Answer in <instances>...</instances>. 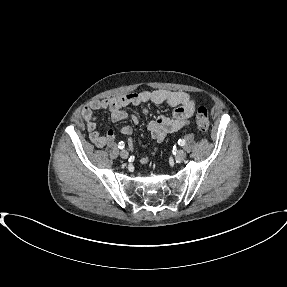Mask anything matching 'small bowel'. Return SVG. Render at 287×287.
I'll list each match as a JSON object with an SVG mask.
<instances>
[{
  "label": "small bowel",
  "mask_w": 287,
  "mask_h": 287,
  "mask_svg": "<svg viewBox=\"0 0 287 287\" xmlns=\"http://www.w3.org/2000/svg\"><path fill=\"white\" fill-rule=\"evenodd\" d=\"M148 102L153 104H167L175 107L171 115H160L149 120L148 130L157 142H162L167 134L175 133L186 126L193 115L195 107V102L189 94L164 89L128 93L94 100L83 108L81 113L89 132L90 141L97 147H103L112 143L115 139V132L112 129L104 134L98 131L97 119L94 114L95 111L108 110L111 115V120L113 122H119L128 117L125 111L127 106H143ZM142 112L145 116H148L147 109H143ZM131 119L135 124L139 122L138 116L135 114L131 115ZM121 133L126 136L130 135L132 133V127L128 125L123 126ZM129 144H131V141H129ZM148 162V157L140 159L141 164H147Z\"/></svg>",
  "instance_id": "small-bowel-1"
}]
</instances>
